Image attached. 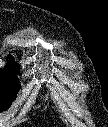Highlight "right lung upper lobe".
I'll list each match as a JSON object with an SVG mask.
<instances>
[{"label":"right lung upper lobe","mask_w":108,"mask_h":127,"mask_svg":"<svg viewBox=\"0 0 108 127\" xmlns=\"http://www.w3.org/2000/svg\"><path fill=\"white\" fill-rule=\"evenodd\" d=\"M11 58H12V57H11ZM8 65H16V66H18V64H16L15 61L10 62ZM8 65H7V66H8Z\"/></svg>","instance_id":"1"}]
</instances>
